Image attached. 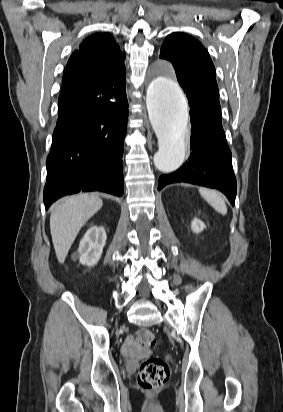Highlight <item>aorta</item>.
<instances>
[{"label": "aorta", "mask_w": 283, "mask_h": 412, "mask_svg": "<svg viewBox=\"0 0 283 412\" xmlns=\"http://www.w3.org/2000/svg\"><path fill=\"white\" fill-rule=\"evenodd\" d=\"M146 104L158 138L154 164L161 172H173L182 165L188 144V114L184 95L175 80L160 71L148 85Z\"/></svg>", "instance_id": "1"}]
</instances>
